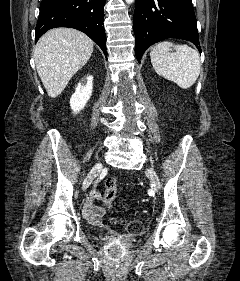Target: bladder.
<instances>
[{
  "mask_svg": "<svg viewBox=\"0 0 240 281\" xmlns=\"http://www.w3.org/2000/svg\"><path fill=\"white\" fill-rule=\"evenodd\" d=\"M106 235L107 234L105 232H96V233L93 234V237L96 240L103 241V240H105Z\"/></svg>",
  "mask_w": 240,
  "mask_h": 281,
  "instance_id": "bladder-1",
  "label": "bladder"
}]
</instances>
